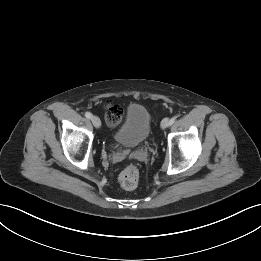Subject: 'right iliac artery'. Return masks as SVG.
Wrapping results in <instances>:
<instances>
[{"mask_svg": "<svg viewBox=\"0 0 261 261\" xmlns=\"http://www.w3.org/2000/svg\"><path fill=\"white\" fill-rule=\"evenodd\" d=\"M85 116H86V118H88V119H91V118H92V114H91L90 112H86V113H85Z\"/></svg>", "mask_w": 261, "mask_h": 261, "instance_id": "right-iliac-artery-1", "label": "right iliac artery"}]
</instances>
